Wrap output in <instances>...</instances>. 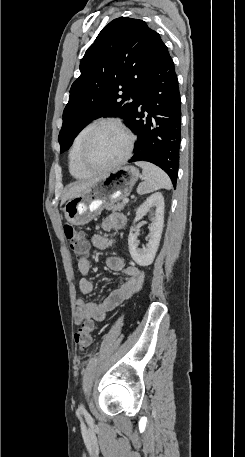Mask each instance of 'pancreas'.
<instances>
[{
  "instance_id": "obj_1",
  "label": "pancreas",
  "mask_w": 245,
  "mask_h": 457,
  "mask_svg": "<svg viewBox=\"0 0 245 457\" xmlns=\"http://www.w3.org/2000/svg\"><path fill=\"white\" fill-rule=\"evenodd\" d=\"M125 206V202H108V204H106L105 208H107V210H122V208H124Z\"/></svg>"
}]
</instances>
